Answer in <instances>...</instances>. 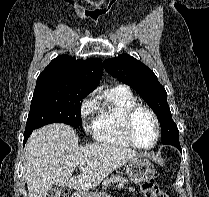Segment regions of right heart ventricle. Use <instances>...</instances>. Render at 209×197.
<instances>
[{
    "instance_id": "e07e8e85",
    "label": "right heart ventricle",
    "mask_w": 209,
    "mask_h": 197,
    "mask_svg": "<svg viewBox=\"0 0 209 197\" xmlns=\"http://www.w3.org/2000/svg\"><path fill=\"white\" fill-rule=\"evenodd\" d=\"M137 103V98L126 86L107 90L98 103V114L92 130L96 140L120 147H131L124 130L126 111Z\"/></svg>"
}]
</instances>
